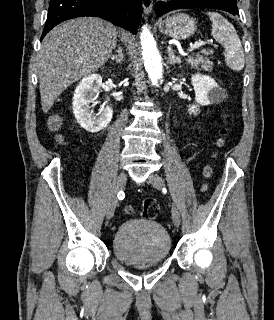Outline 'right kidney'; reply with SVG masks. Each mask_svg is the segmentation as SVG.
<instances>
[{
	"instance_id": "ca27d5eb",
	"label": "right kidney",
	"mask_w": 274,
	"mask_h": 320,
	"mask_svg": "<svg viewBox=\"0 0 274 320\" xmlns=\"http://www.w3.org/2000/svg\"><path fill=\"white\" fill-rule=\"evenodd\" d=\"M101 86V76L92 74L79 82L73 94V114L79 126L91 134L104 130L113 118V110L110 106H101L98 114H94L91 110L90 104H97L96 94H99Z\"/></svg>"
}]
</instances>
